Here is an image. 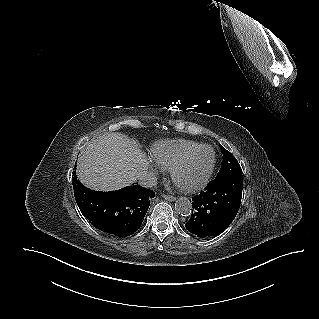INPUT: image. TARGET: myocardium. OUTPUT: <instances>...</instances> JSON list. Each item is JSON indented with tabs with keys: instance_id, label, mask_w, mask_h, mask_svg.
I'll list each match as a JSON object with an SVG mask.
<instances>
[{
	"instance_id": "obj_1",
	"label": "myocardium",
	"mask_w": 319,
	"mask_h": 319,
	"mask_svg": "<svg viewBox=\"0 0 319 319\" xmlns=\"http://www.w3.org/2000/svg\"><path fill=\"white\" fill-rule=\"evenodd\" d=\"M202 148H209L212 151L213 154V159L212 163L207 170L206 174L204 177L196 184L191 185V186H184L182 185L179 180H178V174L181 171V169L186 165V163L193 157L195 153H197L200 149ZM217 162V154L215 149L208 145V144H200L196 146L195 148L191 149L187 153H185L176 163L175 165L171 168V178L173 183L183 192L185 193H195L203 189L210 181L213 172L215 170Z\"/></svg>"
}]
</instances>
